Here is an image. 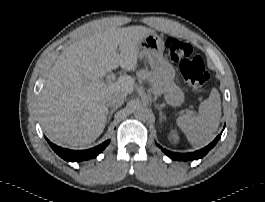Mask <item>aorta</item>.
<instances>
[{"label":"aorta","mask_w":265,"mask_h":202,"mask_svg":"<svg viewBox=\"0 0 265 202\" xmlns=\"http://www.w3.org/2000/svg\"><path fill=\"white\" fill-rule=\"evenodd\" d=\"M134 114L139 119H146L149 115V108L145 104H137L134 108Z\"/></svg>","instance_id":"1"}]
</instances>
